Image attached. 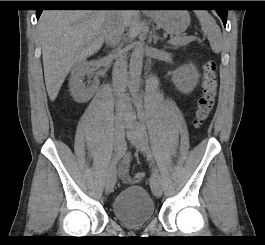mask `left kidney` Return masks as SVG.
I'll return each mask as SVG.
<instances>
[{"label":"left kidney","instance_id":"5707ae66","mask_svg":"<svg viewBox=\"0 0 265 245\" xmlns=\"http://www.w3.org/2000/svg\"><path fill=\"white\" fill-rule=\"evenodd\" d=\"M198 78L197 68L192 63L178 68L172 75V81L176 88L185 94H189L194 90L198 83Z\"/></svg>","mask_w":265,"mask_h":245}]
</instances>
